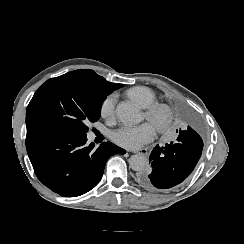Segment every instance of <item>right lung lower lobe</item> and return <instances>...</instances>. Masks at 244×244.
Listing matches in <instances>:
<instances>
[{
	"label": "right lung lower lobe",
	"mask_w": 244,
	"mask_h": 244,
	"mask_svg": "<svg viewBox=\"0 0 244 244\" xmlns=\"http://www.w3.org/2000/svg\"><path fill=\"white\" fill-rule=\"evenodd\" d=\"M85 136L51 131H28L26 149L38 179L65 197L82 195L100 181L105 164L113 154L126 151L110 142L86 144Z\"/></svg>",
	"instance_id": "obj_1"
}]
</instances>
